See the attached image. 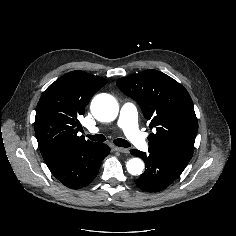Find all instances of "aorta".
Listing matches in <instances>:
<instances>
[{
    "mask_svg": "<svg viewBox=\"0 0 236 236\" xmlns=\"http://www.w3.org/2000/svg\"><path fill=\"white\" fill-rule=\"evenodd\" d=\"M91 111L96 119L109 122L117 117L119 107L111 95L99 94L91 102ZM126 167L131 175H140L144 169V163L139 158H132L128 160Z\"/></svg>",
    "mask_w": 236,
    "mask_h": 236,
    "instance_id": "1",
    "label": "aorta"
}]
</instances>
